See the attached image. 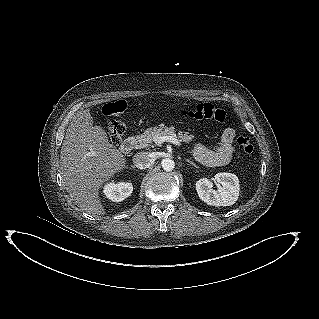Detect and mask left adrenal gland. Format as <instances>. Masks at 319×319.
Instances as JSON below:
<instances>
[{
	"label": "left adrenal gland",
	"mask_w": 319,
	"mask_h": 319,
	"mask_svg": "<svg viewBox=\"0 0 319 319\" xmlns=\"http://www.w3.org/2000/svg\"><path fill=\"white\" fill-rule=\"evenodd\" d=\"M187 163L191 164L192 166L198 168V166L194 163V162H191L190 160H186Z\"/></svg>",
	"instance_id": "a2214340"
}]
</instances>
